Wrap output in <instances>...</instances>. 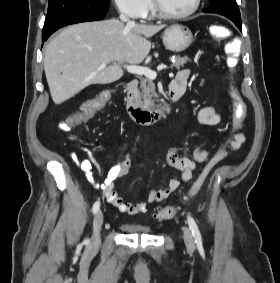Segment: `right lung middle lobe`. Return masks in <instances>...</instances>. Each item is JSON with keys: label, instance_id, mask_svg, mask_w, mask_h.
Masks as SVG:
<instances>
[{"label": "right lung middle lobe", "instance_id": "obj_1", "mask_svg": "<svg viewBox=\"0 0 280 283\" xmlns=\"http://www.w3.org/2000/svg\"><path fill=\"white\" fill-rule=\"evenodd\" d=\"M109 0H49L46 19L61 15H106Z\"/></svg>", "mask_w": 280, "mask_h": 283}]
</instances>
